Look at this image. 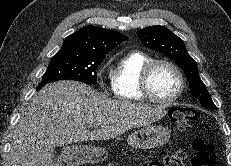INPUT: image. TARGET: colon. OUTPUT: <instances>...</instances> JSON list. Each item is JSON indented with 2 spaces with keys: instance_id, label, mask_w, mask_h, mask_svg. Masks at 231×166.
<instances>
[{
  "instance_id": "5ec220e1",
  "label": "colon",
  "mask_w": 231,
  "mask_h": 166,
  "mask_svg": "<svg viewBox=\"0 0 231 166\" xmlns=\"http://www.w3.org/2000/svg\"><path fill=\"white\" fill-rule=\"evenodd\" d=\"M169 117L180 130L187 129L199 117V112L190 107H174L169 110ZM192 166H215L214 147L201 138L193 141ZM185 155L175 152L167 155L162 162H150L147 166H184Z\"/></svg>"
}]
</instances>
